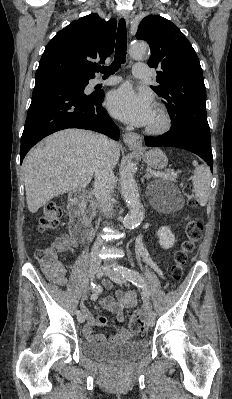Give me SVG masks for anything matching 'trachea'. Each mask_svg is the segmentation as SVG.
<instances>
[{"instance_id": "trachea-1", "label": "trachea", "mask_w": 232, "mask_h": 399, "mask_svg": "<svg viewBox=\"0 0 232 399\" xmlns=\"http://www.w3.org/2000/svg\"><path fill=\"white\" fill-rule=\"evenodd\" d=\"M127 50V31L125 20L121 18L117 30L116 47H115V58L109 67H97V70L104 74V77H109L113 73L117 72L121 63H125Z\"/></svg>"}]
</instances>
